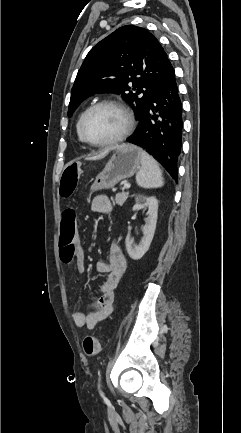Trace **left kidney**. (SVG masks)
<instances>
[{"mask_svg":"<svg viewBox=\"0 0 241 433\" xmlns=\"http://www.w3.org/2000/svg\"><path fill=\"white\" fill-rule=\"evenodd\" d=\"M135 200L136 204L133 207V211H138L142 208H148V218L146 220V224L142 228L143 238L139 245L133 244V240L130 235L126 236L125 245L130 258L133 260H139L148 251L155 233L158 200L155 197H145L143 195L137 196Z\"/></svg>","mask_w":241,"mask_h":433,"instance_id":"1","label":"left kidney"}]
</instances>
